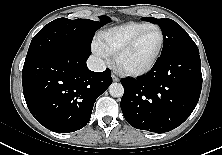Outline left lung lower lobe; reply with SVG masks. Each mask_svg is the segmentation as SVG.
Returning a JSON list of instances; mask_svg holds the SVG:
<instances>
[{"mask_svg":"<svg viewBox=\"0 0 222 155\" xmlns=\"http://www.w3.org/2000/svg\"><path fill=\"white\" fill-rule=\"evenodd\" d=\"M121 83L120 106L131 126L156 133L173 130L190 116L200 97L199 50L160 56L145 76Z\"/></svg>","mask_w":222,"mask_h":155,"instance_id":"0a47b994","label":"left lung lower lobe"}]
</instances>
